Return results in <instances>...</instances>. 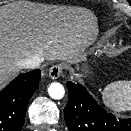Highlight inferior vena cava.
Returning a JSON list of instances; mask_svg holds the SVG:
<instances>
[{
	"mask_svg": "<svg viewBox=\"0 0 131 131\" xmlns=\"http://www.w3.org/2000/svg\"><path fill=\"white\" fill-rule=\"evenodd\" d=\"M44 61V57L35 55L29 58H25L20 60L17 65L20 68L34 69L40 66V64Z\"/></svg>",
	"mask_w": 131,
	"mask_h": 131,
	"instance_id": "602c4592",
	"label": "inferior vena cava"
}]
</instances>
